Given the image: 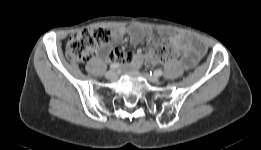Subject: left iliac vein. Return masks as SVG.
Instances as JSON below:
<instances>
[{
	"label": "left iliac vein",
	"mask_w": 261,
	"mask_h": 150,
	"mask_svg": "<svg viewBox=\"0 0 261 150\" xmlns=\"http://www.w3.org/2000/svg\"><path fill=\"white\" fill-rule=\"evenodd\" d=\"M146 78L151 83H158L159 82V78L156 75H150V74L146 73Z\"/></svg>",
	"instance_id": "1"
}]
</instances>
